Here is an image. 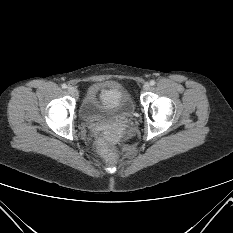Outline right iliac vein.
I'll list each match as a JSON object with an SVG mask.
<instances>
[{
    "mask_svg": "<svg viewBox=\"0 0 233 233\" xmlns=\"http://www.w3.org/2000/svg\"><path fill=\"white\" fill-rule=\"evenodd\" d=\"M67 91L71 94V95H76L77 94V89L73 86H68Z\"/></svg>",
    "mask_w": 233,
    "mask_h": 233,
    "instance_id": "right-iliac-vein-1",
    "label": "right iliac vein"
}]
</instances>
